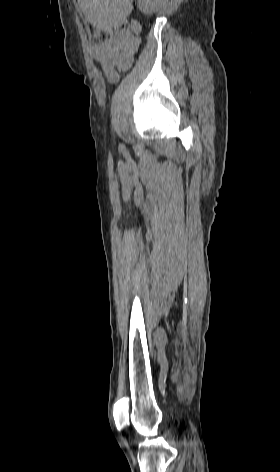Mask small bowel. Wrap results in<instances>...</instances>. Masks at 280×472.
<instances>
[{"label":"small bowel","instance_id":"c3829d8e","mask_svg":"<svg viewBox=\"0 0 280 472\" xmlns=\"http://www.w3.org/2000/svg\"><path fill=\"white\" fill-rule=\"evenodd\" d=\"M140 31V24L137 21H132L130 32L116 36L106 45L92 48V56L101 64L110 83H115L119 79V71L123 69L118 68V63L122 59H129L130 63L127 68L132 64L134 54L140 43Z\"/></svg>","mask_w":280,"mask_h":472}]
</instances>
